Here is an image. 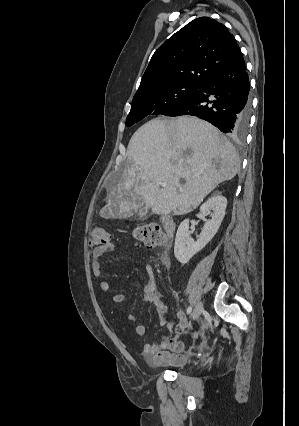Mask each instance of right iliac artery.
<instances>
[{
  "label": "right iliac artery",
  "mask_w": 299,
  "mask_h": 426,
  "mask_svg": "<svg viewBox=\"0 0 299 426\" xmlns=\"http://www.w3.org/2000/svg\"><path fill=\"white\" fill-rule=\"evenodd\" d=\"M192 311V307L191 306H189L188 308H187V314H190V312Z\"/></svg>",
  "instance_id": "right-iliac-artery-1"
}]
</instances>
